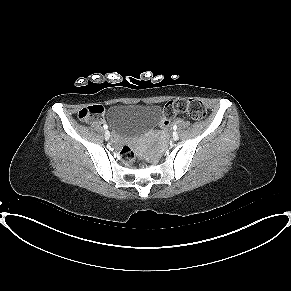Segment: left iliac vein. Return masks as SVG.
Segmentation results:
<instances>
[{"mask_svg":"<svg viewBox=\"0 0 291 291\" xmlns=\"http://www.w3.org/2000/svg\"><path fill=\"white\" fill-rule=\"evenodd\" d=\"M173 139H174V140H178V139H179V135H178L177 132H174V133H173Z\"/></svg>","mask_w":291,"mask_h":291,"instance_id":"left-iliac-vein-1","label":"left iliac vein"}]
</instances>
